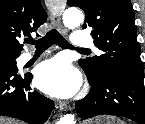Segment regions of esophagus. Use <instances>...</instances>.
<instances>
[{
  "label": "esophagus",
  "mask_w": 145,
  "mask_h": 124,
  "mask_svg": "<svg viewBox=\"0 0 145 124\" xmlns=\"http://www.w3.org/2000/svg\"><path fill=\"white\" fill-rule=\"evenodd\" d=\"M48 9L50 11V17L52 22L54 23V25L57 27V29L62 33V34H66V29L64 28V26L62 25L61 22V15L63 13V4L62 2L59 1H51L48 4ZM57 107L63 111L66 110L68 108L67 103L65 102H60Z\"/></svg>",
  "instance_id": "1"
}]
</instances>
